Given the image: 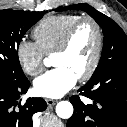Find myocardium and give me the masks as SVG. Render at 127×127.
Wrapping results in <instances>:
<instances>
[{
  "instance_id": "obj_1",
  "label": "myocardium",
  "mask_w": 127,
  "mask_h": 127,
  "mask_svg": "<svg viewBox=\"0 0 127 127\" xmlns=\"http://www.w3.org/2000/svg\"><path fill=\"white\" fill-rule=\"evenodd\" d=\"M84 23H90L91 25H93V27L95 29V31H96V47H95L93 58L91 60V63L89 65L88 69L77 78L79 81L89 80L99 65L101 54H102V49H103V30H102V27L99 24V22L90 16H85V17L79 18L68 29V31L65 33L63 39L61 40L60 44L53 52V55H61V54L66 53L71 45V42H72L76 32Z\"/></svg>"
}]
</instances>
